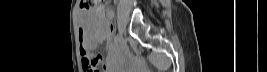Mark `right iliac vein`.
<instances>
[{
  "label": "right iliac vein",
  "mask_w": 267,
  "mask_h": 72,
  "mask_svg": "<svg viewBox=\"0 0 267 72\" xmlns=\"http://www.w3.org/2000/svg\"><path fill=\"white\" fill-rule=\"evenodd\" d=\"M119 44L120 45L124 44V38H123V36H120Z\"/></svg>",
  "instance_id": "1"
}]
</instances>
